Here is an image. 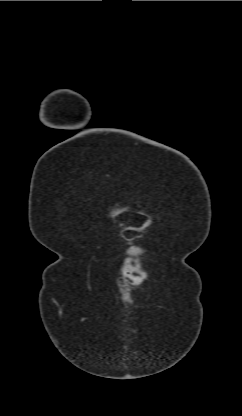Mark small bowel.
Here are the masks:
<instances>
[{
	"label": "small bowel",
	"mask_w": 242,
	"mask_h": 416,
	"mask_svg": "<svg viewBox=\"0 0 242 416\" xmlns=\"http://www.w3.org/2000/svg\"><path fill=\"white\" fill-rule=\"evenodd\" d=\"M124 274L131 279H139L138 275L134 272V269L129 264L124 266Z\"/></svg>",
	"instance_id": "small-bowel-1"
}]
</instances>
